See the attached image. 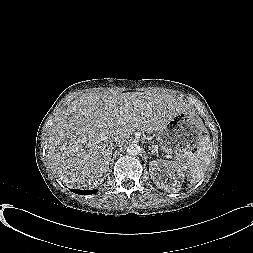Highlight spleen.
<instances>
[{
  "mask_svg": "<svg viewBox=\"0 0 253 253\" xmlns=\"http://www.w3.org/2000/svg\"><path fill=\"white\" fill-rule=\"evenodd\" d=\"M203 130L207 133L204 125ZM211 149L212 143L209 135L207 134L202 137L194 154L190 153L187 157L182 155L176 158L174 161H172V166L179 173H186V176L191 183L197 182L203 177L210 164L212 152Z\"/></svg>",
  "mask_w": 253,
  "mask_h": 253,
  "instance_id": "1",
  "label": "spleen"
}]
</instances>
